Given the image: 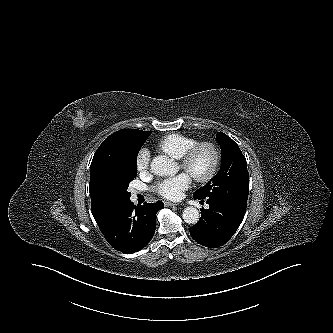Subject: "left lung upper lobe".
Listing matches in <instances>:
<instances>
[{"instance_id": "5c2ea615", "label": "left lung upper lobe", "mask_w": 333, "mask_h": 333, "mask_svg": "<svg viewBox=\"0 0 333 333\" xmlns=\"http://www.w3.org/2000/svg\"><path fill=\"white\" fill-rule=\"evenodd\" d=\"M217 142L222 152L221 168L205 186L194 192L193 197L216 198L246 208L249 192L246 159L237 143L226 134L219 132Z\"/></svg>"}]
</instances>
